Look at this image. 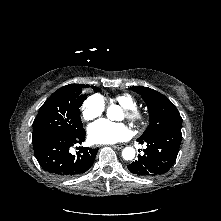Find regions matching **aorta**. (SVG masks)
Instances as JSON below:
<instances>
[{
  "label": "aorta",
  "instance_id": "762f6f07",
  "mask_svg": "<svg viewBox=\"0 0 221 221\" xmlns=\"http://www.w3.org/2000/svg\"><path fill=\"white\" fill-rule=\"evenodd\" d=\"M111 108L108 109V112ZM122 157L125 160H133L135 157V149L133 147H126L122 151Z\"/></svg>",
  "mask_w": 221,
  "mask_h": 221
}]
</instances>
